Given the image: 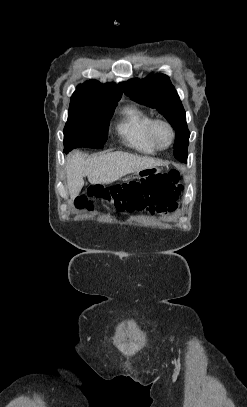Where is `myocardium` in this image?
Returning <instances> with one entry per match:
<instances>
[{"label":"myocardium","instance_id":"1","mask_svg":"<svg viewBox=\"0 0 247 407\" xmlns=\"http://www.w3.org/2000/svg\"><path fill=\"white\" fill-rule=\"evenodd\" d=\"M160 126L166 127L170 133V142L167 146H162L157 139V129ZM150 137L157 149L165 150L168 149L173 144L175 140V130L169 121L165 119H154L150 127Z\"/></svg>","mask_w":247,"mask_h":407}]
</instances>
